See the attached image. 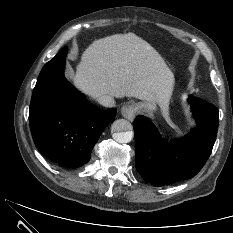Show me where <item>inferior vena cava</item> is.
Returning a JSON list of instances; mask_svg holds the SVG:
<instances>
[{"mask_svg":"<svg viewBox=\"0 0 233 233\" xmlns=\"http://www.w3.org/2000/svg\"><path fill=\"white\" fill-rule=\"evenodd\" d=\"M98 102L105 107L115 106V100L112 96L103 95L98 98Z\"/></svg>","mask_w":233,"mask_h":233,"instance_id":"obj_1","label":"inferior vena cava"}]
</instances>
